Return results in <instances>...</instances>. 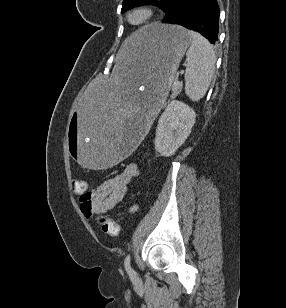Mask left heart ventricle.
<instances>
[{"instance_id": "1", "label": "left heart ventricle", "mask_w": 286, "mask_h": 308, "mask_svg": "<svg viewBox=\"0 0 286 308\" xmlns=\"http://www.w3.org/2000/svg\"><path fill=\"white\" fill-rule=\"evenodd\" d=\"M144 15L142 13H135L132 17L131 20L133 22H140L143 19Z\"/></svg>"}]
</instances>
